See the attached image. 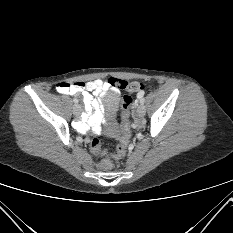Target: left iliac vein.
<instances>
[{"mask_svg": "<svg viewBox=\"0 0 233 233\" xmlns=\"http://www.w3.org/2000/svg\"><path fill=\"white\" fill-rule=\"evenodd\" d=\"M145 112H146L145 106L143 104H140L137 107V114H138V116L143 117L145 115Z\"/></svg>", "mask_w": 233, "mask_h": 233, "instance_id": "4c4485c4", "label": "left iliac vein"}]
</instances>
